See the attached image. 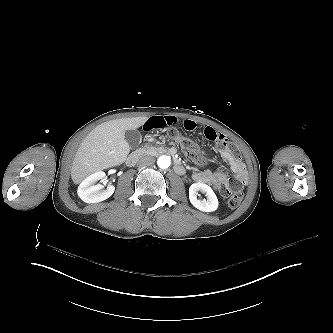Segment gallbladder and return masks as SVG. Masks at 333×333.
<instances>
[{
    "label": "gallbladder",
    "instance_id": "1",
    "mask_svg": "<svg viewBox=\"0 0 333 333\" xmlns=\"http://www.w3.org/2000/svg\"><path fill=\"white\" fill-rule=\"evenodd\" d=\"M141 134L137 130L126 131L125 132V140L129 144L131 149H136L141 143Z\"/></svg>",
    "mask_w": 333,
    "mask_h": 333
}]
</instances>
